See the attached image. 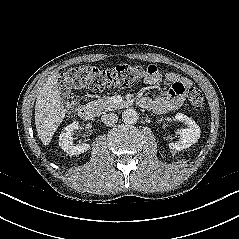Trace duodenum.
I'll list each match as a JSON object with an SVG mask.
<instances>
[{
    "label": "duodenum",
    "mask_w": 239,
    "mask_h": 239,
    "mask_svg": "<svg viewBox=\"0 0 239 239\" xmlns=\"http://www.w3.org/2000/svg\"><path fill=\"white\" fill-rule=\"evenodd\" d=\"M78 114L83 120L90 121L94 117V110L90 105L83 104L79 106Z\"/></svg>",
    "instance_id": "1"
}]
</instances>
